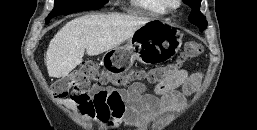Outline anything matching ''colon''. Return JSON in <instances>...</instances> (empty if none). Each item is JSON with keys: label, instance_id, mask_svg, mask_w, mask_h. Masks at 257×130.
I'll return each mask as SVG.
<instances>
[{"label": "colon", "instance_id": "1", "mask_svg": "<svg viewBox=\"0 0 257 130\" xmlns=\"http://www.w3.org/2000/svg\"><path fill=\"white\" fill-rule=\"evenodd\" d=\"M202 51L203 47L199 42L189 41L186 43L180 57L174 63L149 70L131 69L127 73L100 70L96 63L87 61L65 77L58 79L53 84L52 91L55 97L64 98L70 95L71 98L84 101L88 99L87 92L93 81L101 84L110 83L116 87H124L131 81L159 83L167 76L181 70L189 60L200 56Z\"/></svg>", "mask_w": 257, "mask_h": 130}]
</instances>
